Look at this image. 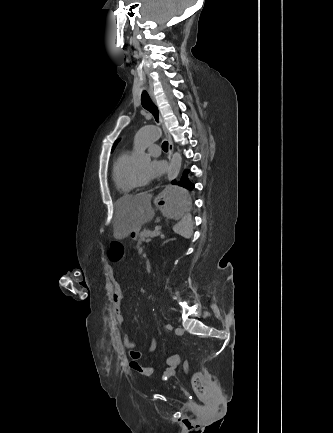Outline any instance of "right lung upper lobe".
Segmentation results:
<instances>
[{"label": "right lung upper lobe", "instance_id": "right-lung-upper-lobe-1", "mask_svg": "<svg viewBox=\"0 0 333 433\" xmlns=\"http://www.w3.org/2000/svg\"><path fill=\"white\" fill-rule=\"evenodd\" d=\"M117 142H118V140L114 143L113 148H112V151H113V149L115 148Z\"/></svg>", "mask_w": 333, "mask_h": 433}]
</instances>
